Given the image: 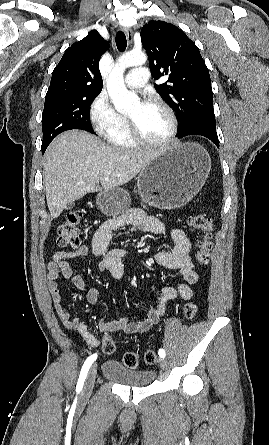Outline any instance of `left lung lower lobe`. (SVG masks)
<instances>
[{"instance_id": "obj_1", "label": "left lung lower lobe", "mask_w": 269, "mask_h": 445, "mask_svg": "<svg viewBox=\"0 0 269 445\" xmlns=\"http://www.w3.org/2000/svg\"><path fill=\"white\" fill-rule=\"evenodd\" d=\"M187 135H201L210 139L217 147H219L218 136L216 132V126L203 125L198 127H193L185 133L179 135V138Z\"/></svg>"}]
</instances>
